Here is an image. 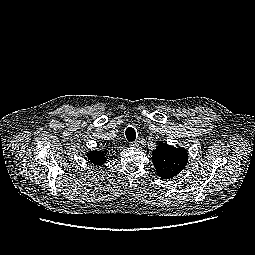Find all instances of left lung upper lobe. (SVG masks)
Wrapping results in <instances>:
<instances>
[{
  "label": "left lung upper lobe",
  "instance_id": "obj_1",
  "mask_svg": "<svg viewBox=\"0 0 255 255\" xmlns=\"http://www.w3.org/2000/svg\"><path fill=\"white\" fill-rule=\"evenodd\" d=\"M152 161L156 172L162 179L173 178L186 166L188 153L183 148H176L161 142L152 152Z\"/></svg>",
  "mask_w": 255,
  "mask_h": 255
}]
</instances>
